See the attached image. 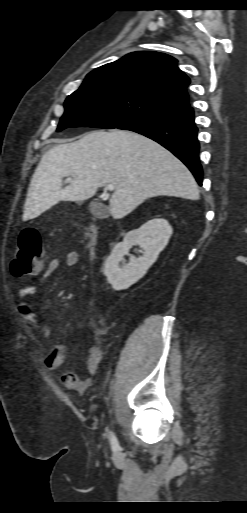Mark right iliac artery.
Here are the masks:
<instances>
[{
  "instance_id": "82829eb1",
  "label": "right iliac artery",
  "mask_w": 247,
  "mask_h": 513,
  "mask_svg": "<svg viewBox=\"0 0 247 513\" xmlns=\"http://www.w3.org/2000/svg\"><path fill=\"white\" fill-rule=\"evenodd\" d=\"M108 438L111 444L112 450L115 452L119 449V443L113 432L108 433Z\"/></svg>"
}]
</instances>
